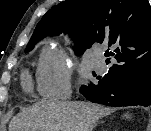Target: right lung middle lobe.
Returning <instances> with one entry per match:
<instances>
[{"label": "right lung middle lobe", "instance_id": "dd1d6c3e", "mask_svg": "<svg viewBox=\"0 0 151 131\" xmlns=\"http://www.w3.org/2000/svg\"><path fill=\"white\" fill-rule=\"evenodd\" d=\"M35 44H30L27 46L26 48V51H30L33 47H34ZM77 55H80L81 53H76Z\"/></svg>", "mask_w": 151, "mask_h": 131}]
</instances>
